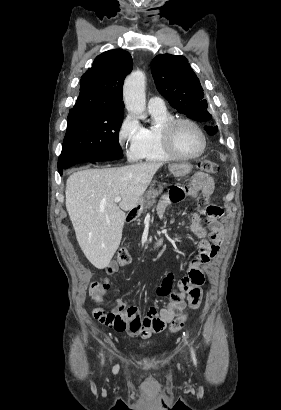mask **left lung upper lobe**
<instances>
[{
  "instance_id": "5c2ea615",
  "label": "left lung upper lobe",
  "mask_w": 281,
  "mask_h": 410,
  "mask_svg": "<svg viewBox=\"0 0 281 410\" xmlns=\"http://www.w3.org/2000/svg\"><path fill=\"white\" fill-rule=\"evenodd\" d=\"M151 71L160 94L179 113L204 122L211 119L199 79L184 56L158 55L151 63ZM209 134H215L217 128ZM208 132V131H207Z\"/></svg>"
}]
</instances>
